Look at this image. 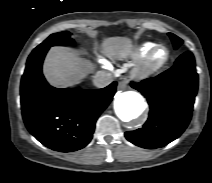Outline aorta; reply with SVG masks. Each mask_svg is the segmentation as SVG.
Instances as JSON below:
<instances>
[{"label": "aorta", "mask_w": 212, "mask_h": 183, "mask_svg": "<svg viewBox=\"0 0 212 183\" xmlns=\"http://www.w3.org/2000/svg\"><path fill=\"white\" fill-rule=\"evenodd\" d=\"M145 108L144 98L135 91H125L118 94L114 102L115 113L124 122L137 119Z\"/></svg>", "instance_id": "762f6f07"}]
</instances>
